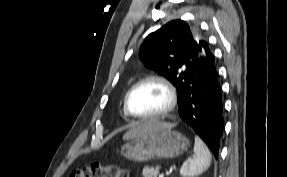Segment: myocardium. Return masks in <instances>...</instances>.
<instances>
[{
	"label": "myocardium",
	"mask_w": 287,
	"mask_h": 177,
	"mask_svg": "<svg viewBox=\"0 0 287 177\" xmlns=\"http://www.w3.org/2000/svg\"><path fill=\"white\" fill-rule=\"evenodd\" d=\"M149 82H155V83H158L164 87V89L166 90V93H167L168 103L165 106V108H163L161 111H159L157 113L148 114V115L135 114L132 112V110L130 108V99L138 87H140L143 84L149 83ZM177 100H178V96H177L176 89L168 79H166L165 77L160 76V75H149V76H146V77L140 79L139 81H137L129 89V91L127 92V94L125 96L124 108H125V112L130 117H132L134 119H139V120L155 119V118L164 117L168 113H170L175 108V106L177 104Z\"/></svg>",
	"instance_id": "myocardium-1"
}]
</instances>
